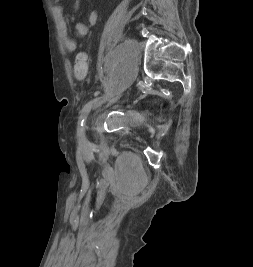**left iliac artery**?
Wrapping results in <instances>:
<instances>
[{
  "label": "left iliac artery",
  "mask_w": 253,
  "mask_h": 267,
  "mask_svg": "<svg viewBox=\"0 0 253 267\" xmlns=\"http://www.w3.org/2000/svg\"><path fill=\"white\" fill-rule=\"evenodd\" d=\"M100 100V98H95L91 101H89L82 109L81 111V115L79 117V121H78V132H80L82 130V126L84 124V121L88 115V113L90 112L92 106L96 103H98Z\"/></svg>",
  "instance_id": "1"
}]
</instances>
